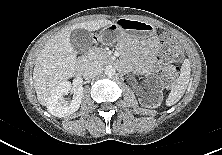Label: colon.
Returning <instances> with one entry per match:
<instances>
[{
    "label": "colon",
    "mask_w": 222,
    "mask_h": 155,
    "mask_svg": "<svg viewBox=\"0 0 222 155\" xmlns=\"http://www.w3.org/2000/svg\"><path fill=\"white\" fill-rule=\"evenodd\" d=\"M162 45L163 57L167 60H177L181 56L179 47L176 45L173 38L168 34H163L160 39ZM178 68L172 64H167L163 67L161 78L167 87L175 85L178 76Z\"/></svg>",
    "instance_id": "5ec220e1"
}]
</instances>
